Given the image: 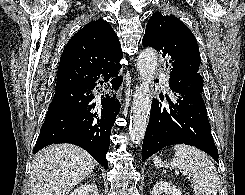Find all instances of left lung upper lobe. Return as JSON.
<instances>
[{
  "mask_svg": "<svg viewBox=\"0 0 245 195\" xmlns=\"http://www.w3.org/2000/svg\"><path fill=\"white\" fill-rule=\"evenodd\" d=\"M142 44L160 51L167 58L169 84L203 91V78L198 73L201 57L191 30L172 14L156 12L147 23Z\"/></svg>",
  "mask_w": 245,
  "mask_h": 195,
  "instance_id": "obj_1",
  "label": "left lung upper lobe"
}]
</instances>
